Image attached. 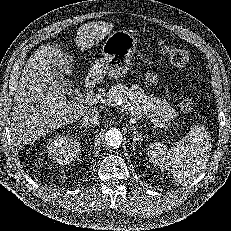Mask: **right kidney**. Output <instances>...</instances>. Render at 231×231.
<instances>
[{"label":"right kidney","instance_id":"right-kidney-1","mask_svg":"<svg viewBox=\"0 0 231 231\" xmlns=\"http://www.w3.org/2000/svg\"><path fill=\"white\" fill-rule=\"evenodd\" d=\"M48 156L59 164H69L78 154L80 143L67 135H56L47 144Z\"/></svg>","mask_w":231,"mask_h":231}]
</instances>
